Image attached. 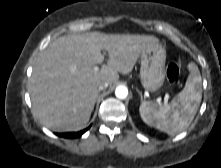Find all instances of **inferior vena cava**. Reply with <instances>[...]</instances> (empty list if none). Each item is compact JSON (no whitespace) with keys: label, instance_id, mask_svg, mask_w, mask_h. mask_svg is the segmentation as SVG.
<instances>
[{"label":"inferior vena cava","instance_id":"1","mask_svg":"<svg viewBox=\"0 0 221 168\" xmlns=\"http://www.w3.org/2000/svg\"><path fill=\"white\" fill-rule=\"evenodd\" d=\"M108 85H109V84H108L107 82L102 83V84L99 85L98 89H99L100 91H102V90L106 89V88L108 87Z\"/></svg>","mask_w":221,"mask_h":168}]
</instances>
